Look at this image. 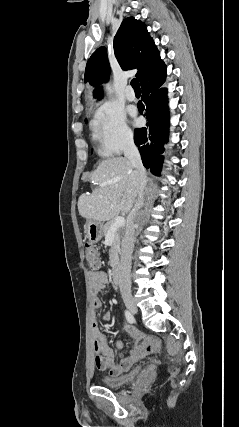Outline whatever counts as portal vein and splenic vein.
<instances>
[{
  "mask_svg": "<svg viewBox=\"0 0 239 427\" xmlns=\"http://www.w3.org/2000/svg\"><path fill=\"white\" fill-rule=\"evenodd\" d=\"M125 218L124 217H117L114 221V223L110 227V231H116L118 228L125 225Z\"/></svg>",
  "mask_w": 239,
  "mask_h": 427,
  "instance_id": "obj_1",
  "label": "portal vein and splenic vein"
}]
</instances>
